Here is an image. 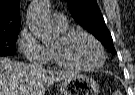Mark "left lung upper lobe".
Masks as SVG:
<instances>
[{"label":"left lung upper lobe","mask_w":135,"mask_h":95,"mask_svg":"<svg viewBox=\"0 0 135 95\" xmlns=\"http://www.w3.org/2000/svg\"><path fill=\"white\" fill-rule=\"evenodd\" d=\"M74 20L92 33L112 54H116L113 40L96 0H67Z\"/></svg>","instance_id":"obj_1"}]
</instances>
